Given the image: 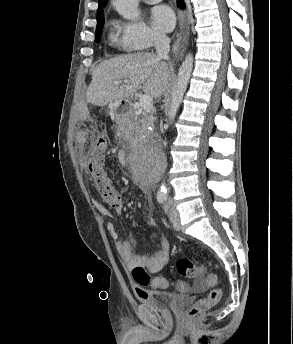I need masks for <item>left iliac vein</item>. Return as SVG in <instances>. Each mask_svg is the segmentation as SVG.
Returning <instances> with one entry per match:
<instances>
[{
  "mask_svg": "<svg viewBox=\"0 0 293 344\" xmlns=\"http://www.w3.org/2000/svg\"><path fill=\"white\" fill-rule=\"evenodd\" d=\"M169 217H170V221L173 224V227L175 228V230H180L179 213L174 207H171L169 209Z\"/></svg>",
  "mask_w": 293,
  "mask_h": 344,
  "instance_id": "1",
  "label": "left iliac vein"
}]
</instances>
